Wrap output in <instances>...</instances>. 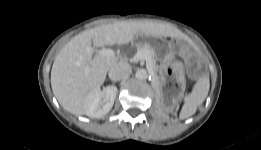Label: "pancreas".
<instances>
[{
	"mask_svg": "<svg viewBox=\"0 0 261 150\" xmlns=\"http://www.w3.org/2000/svg\"><path fill=\"white\" fill-rule=\"evenodd\" d=\"M140 49H144L147 51L150 58L148 62L149 68L153 76L158 80L157 73L159 71V66L156 64V60L153 55V49L148 44H144L142 47H140Z\"/></svg>",
	"mask_w": 261,
	"mask_h": 150,
	"instance_id": "1",
	"label": "pancreas"
}]
</instances>
